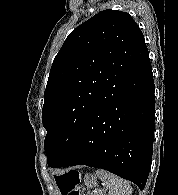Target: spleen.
<instances>
[{
  "mask_svg": "<svg viewBox=\"0 0 178 195\" xmlns=\"http://www.w3.org/2000/svg\"><path fill=\"white\" fill-rule=\"evenodd\" d=\"M96 174L103 182V185L108 189V195L132 194V188L130 184L122 178H119L118 176H115L114 174L104 170H97Z\"/></svg>",
  "mask_w": 178,
  "mask_h": 195,
  "instance_id": "spleen-1",
  "label": "spleen"
}]
</instances>
